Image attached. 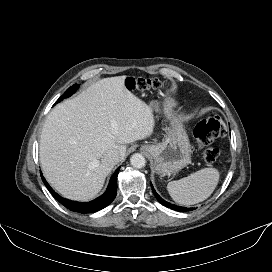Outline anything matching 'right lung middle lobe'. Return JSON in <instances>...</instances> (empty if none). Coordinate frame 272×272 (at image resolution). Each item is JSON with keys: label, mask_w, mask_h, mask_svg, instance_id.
Returning <instances> with one entry per match:
<instances>
[{"label": "right lung middle lobe", "mask_w": 272, "mask_h": 272, "mask_svg": "<svg viewBox=\"0 0 272 272\" xmlns=\"http://www.w3.org/2000/svg\"><path fill=\"white\" fill-rule=\"evenodd\" d=\"M77 88H78L77 84H74L73 86L69 87L66 90V92L55 102V104L62 101L64 98L71 96L77 90Z\"/></svg>", "instance_id": "right-lung-middle-lobe-1"}]
</instances>
